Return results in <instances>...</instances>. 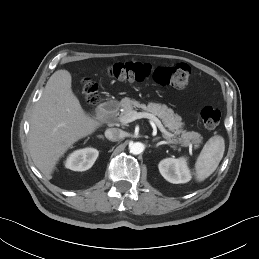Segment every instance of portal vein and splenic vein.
Instances as JSON below:
<instances>
[{
  "label": "portal vein and splenic vein",
  "mask_w": 259,
  "mask_h": 259,
  "mask_svg": "<svg viewBox=\"0 0 259 259\" xmlns=\"http://www.w3.org/2000/svg\"><path fill=\"white\" fill-rule=\"evenodd\" d=\"M141 118L149 119L150 122L155 124L164 135L172 136V134L164 128L161 121L155 115L147 112L130 111L129 113L120 116L119 121L123 124H127Z\"/></svg>",
  "instance_id": "18ae733b"
}]
</instances>
